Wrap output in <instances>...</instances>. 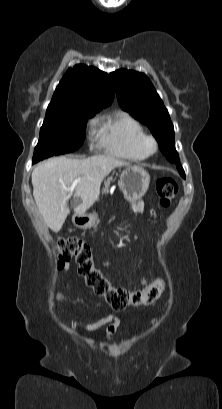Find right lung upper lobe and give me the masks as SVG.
Returning <instances> with one entry per match:
<instances>
[{"label": "right lung upper lobe", "mask_w": 222, "mask_h": 409, "mask_svg": "<svg viewBox=\"0 0 222 409\" xmlns=\"http://www.w3.org/2000/svg\"><path fill=\"white\" fill-rule=\"evenodd\" d=\"M113 99L114 90L109 76L97 68L78 64L67 70L47 110L75 107L102 109Z\"/></svg>", "instance_id": "cb5924a9"}]
</instances>
